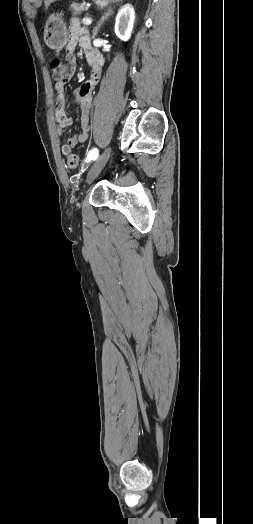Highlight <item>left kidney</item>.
<instances>
[{
    "instance_id": "left-kidney-1",
    "label": "left kidney",
    "mask_w": 253,
    "mask_h": 524,
    "mask_svg": "<svg viewBox=\"0 0 253 524\" xmlns=\"http://www.w3.org/2000/svg\"><path fill=\"white\" fill-rule=\"evenodd\" d=\"M135 11L132 5H124L116 16L115 34L123 41H127L133 30Z\"/></svg>"
}]
</instances>
